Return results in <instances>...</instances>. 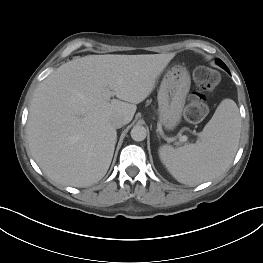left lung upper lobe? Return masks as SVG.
I'll return each instance as SVG.
<instances>
[{
  "instance_id": "1",
  "label": "left lung upper lobe",
  "mask_w": 263,
  "mask_h": 263,
  "mask_svg": "<svg viewBox=\"0 0 263 263\" xmlns=\"http://www.w3.org/2000/svg\"><path fill=\"white\" fill-rule=\"evenodd\" d=\"M216 62L229 73L227 66L220 59H216Z\"/></svg>"
}]
</instances>
